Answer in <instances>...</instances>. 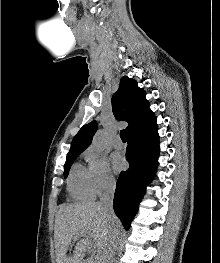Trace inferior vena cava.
Here are the masks:
<instances>
[{
    "mask_svg": "<svg viewBox=\"0 0 220 263\" xmlns=\"http://www.w3.org/2000/svg\"><path fill=\"white\" fill-rule=\"evenodd\" d=\"M116 188V182L113 178L109 179L103 187V192L100 195V206L106 213L109 220H111L115 214L113 210V198ZM120 240V230L112 227L107 239L106 250L103 257V263H113V258L117 250V246Z\"/></svg>",
    "mask_w": 220,
    "mask_h": 263,
    "instance_id": "602c4592",
    "label": "inferior vena cava"
}]
</instances>
